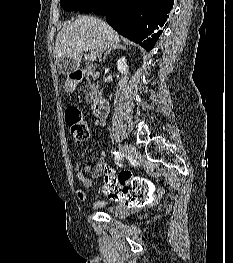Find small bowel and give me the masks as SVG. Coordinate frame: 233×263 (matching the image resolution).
<instances>
[{"mask_svg": "<svg viewBox=\"0 0 233 263\" xmlns=\"http://www.w3.org/2000/svg\"><path fill=\"white\" fill-rule=\"evenodd\" d=\"M94 124L96 126H104L105 121L102 119L97 120ZM104 171H110V170L107 169L106 163L103 159H100L98 161L94 169L89 165H85L83 167H81L79 164L76 165V176L84 188H91L93 186V179L100 176ZM87 174H89V176H87ZM163 194H164V190L158 189L154 193V201L148 202V203L158 202L163 196ZM76 196L82 202H86L88 200V195L85 189H82V188L77 189ZM115 203L116 204L114 206L107 207V210L110 213L118 217H124L127 214L134 212L138 209V208H124L123 202H115ZM106 204L107 202L104 200H97V201L92 202V208L98 210V209L104 208Z\"/></svg>", "mask_w": 233, "mask_h": 263, "instance_id": "c3829d8e", "label": "small bowel"}]
</instances>
